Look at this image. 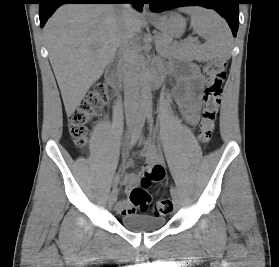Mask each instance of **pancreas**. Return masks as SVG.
<instances>
[{
    "instance_id": "1",
    "label": "pancreas",
    "mask_w": 279,
    "mask_h": 267,
    "mask_svg": "<svg viewBox=\"0 0 279 267\" xmlns=\"http://www.w3.org/2000/svg\"><path fill=\"white\" fill-rule=\"evenodd\" d=\"M157 43L160 54L168 59L191 58L193 56V52L197 49V46L189 41L181 45H172L168 42L167 38L165 37H158ZM137 50L138 47L133 46V51L135 54Z\"/></svg>"
}]
</instances>
